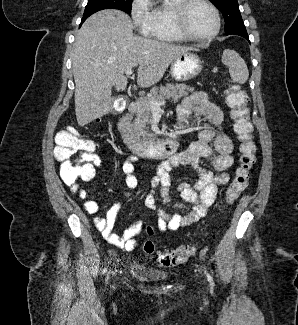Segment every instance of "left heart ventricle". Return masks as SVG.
I'll use <instances>...</instances> for the list:
<instances>
[{
	"label": "left heart ventricle",
	"mask_w": 298,
	"mask_h": 325,
	"mask_svg": "<svg viewBox=\"0 0 298 325\" xmlns=\"http://www.w3.org/2000/svg\"><path fill=\"white\" fill-rule=\"evenodd\" d=\"M183 25L191 35L202 39L208 37L215 26L210 12L200 4H193L185 11Z\"/></svg>",
	"instance_id": "b2bd125f"
}]
</instances>
